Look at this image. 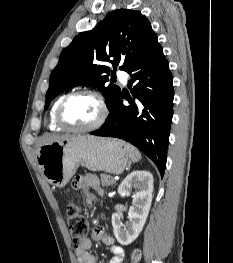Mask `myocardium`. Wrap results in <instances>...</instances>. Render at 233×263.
Here are the masks:
<instances>
[{
	"mask_svg": "<svg viewBox=\"0 0 233 263\" xmlns=\"http://www.w3.org/2000/svg\"><path fill=\"white\" fill-rule=\"evenodd\" d=\"M78 96L93 97L99 104L100 115L98 119L90 126L74 127L68 124L64 119L63 111L66 104L68 103V101ZM107 114H108L107 103L104 97L100 93L93 90H78L65 95L63 99L60 101L56 111V121L63 129H66L68 131L77 132V133L92 132L99 129L104 124Z\"/></svg>",
	"mask_w": 233,
	"mask_h": 263,
	"instance_id": "f54148a6",
	"label": "myocardium"
}]
</instances>
